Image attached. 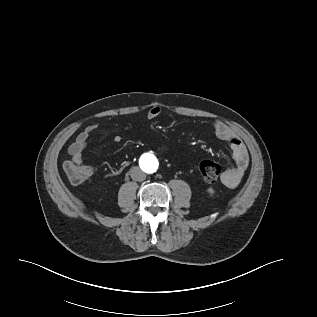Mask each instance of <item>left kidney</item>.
Here are the masks:
<instances>
[{"label":"left kidney","instance_id":"5707ae66","mask_svg":"<svg viewBox=\"0 0 317 317\" xmlns=\"http://www.w3.org/2000/svg\"><path fill=\"white\" fill-rule=\"evenodd\" d=\"M208 191H209L210 193H213V190H212V189H209Z\"/></svg>","mask_w":317,"mask_h":317}]
</instances>
